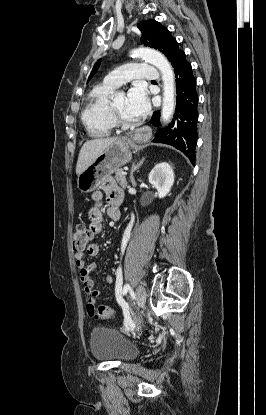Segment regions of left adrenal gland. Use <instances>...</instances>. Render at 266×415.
<instances>
[{
    "label": "left adrenal gland",
    "instance_id": "a2214340",
    "mask_svg": "<svg viewBox=\"0 0 266 415\" xmlns=\"http://www.w3.org/2000/svg\"><path fill=\"white\" fill-rule=\"evenodd\" d=\"M143 162H144V158L142 160H140V162L137 163V164H135V162L132 163L131 172H130V181L132 183V186H136V182H135L133 173L141 167Z\"/></svg>",
    "mask_w": 266,
    "mask_h": 415
}]
</instances>
